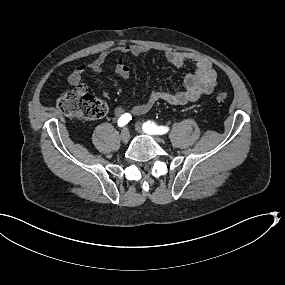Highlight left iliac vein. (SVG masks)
I'll return each instance as SVG.
<instances>
[{"instance_id":"obj_1","label":"left iliac vein","mask_w":285,"mask_h":285,"mask_svg":"<svg viewBox=\"0 0 285 285\" xmlns=\"http://www.w3.org/2000/svg\"><path fill=\"white\" fill-rule=\"evenodd\" d=\"M135 128H136V131H137L138 133L144 134L143 129H142V125H141L140 122H137V123H136ZM149 136H152L153 139H154L155 141L159 142V143H162V142L164 141V139L161 138V137H158V136H155V135H149Z\"/></svg>"}]
</instances>
